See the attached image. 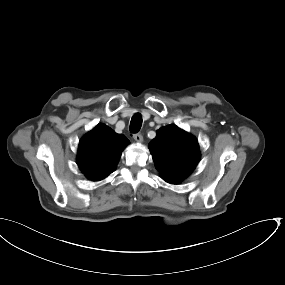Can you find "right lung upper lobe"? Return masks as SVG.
Returning a JSON list of instances; mask_svg holds the SVG:
<instances>
[{
	"mask_svg": "<svg viewBox=\"0 0 285 285\" xmlns=\"http://www.w3.org/2000/svg\"><path fill=\"white\" fill-rule=\"evenodd\" d=\"M129 140L104 124H98L80 141L77 164L85 176L99 181L111 174Z\"/></svg>",
	"mask_w": 285,
	"mask_h": 285,
	"instance_id": "1",
	"label": "right lung upper lobe"
}]
</instances>
